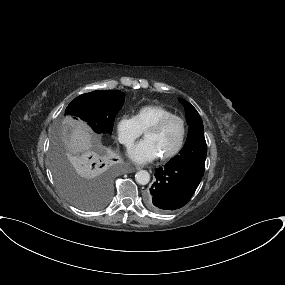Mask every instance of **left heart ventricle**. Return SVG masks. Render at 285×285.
I'll return each instance as SVG.
<instances>
[{"instance_id": "obj_1", "label": "left heart ventricle", "mask_w": 285, "mask_h": 285, "mask_svg": "<svg viewBox=\"0 0 285 285\" xmlns=\"http://www.w3.org/2000/svg\"><path fill=\"white\" fill-rule=\"evenodd\" d=\"M182 125L178 120H172L157 132L146 133L144 138L155 147L158 156L166 155L173 151L180 142Z\"/></svg>"}]
</instances>
